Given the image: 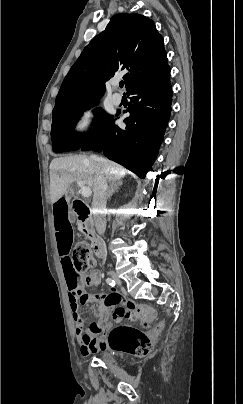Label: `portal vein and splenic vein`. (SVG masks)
<instances>
[{
  "label": "portal vein and splenic vein",
  "instance_id": "1",
  "mask_svg": "<svg viewBox=\"0 0 243 404\" xmlns=\"http://www.w3.org/2000/svg\"><path fill=\"white\" fill-rule=\"evenodd\" d=\"M77 184L81 188V194H82L83 198H89V196H91V194H92L91 188H88V186H84V184H83V182H81V180H77Z\"/></svg>",
  "mask_w": 243,
  "mask_h": 404
}]
</instances>
